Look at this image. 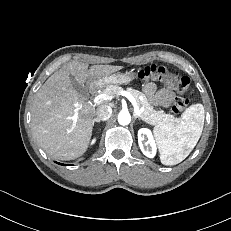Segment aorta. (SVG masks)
Listing matches in <instances>:
<instances>
[{
    "label": "aorta",
    "instance_id": "obj_1",
    "mask_svg": "<svg viewBox=\"0 0 231 231\" xmlns=\"http://www.w3.org/2000/svg\"><path fill=\"white\" fill-rule=\"evenodd\" d=\"M131 121V116L127 111H121L118 114V122L120 125H128Z\"/></svg>",
    "mask_w": 231,
    "mask_h": 231
}]
</instances>
